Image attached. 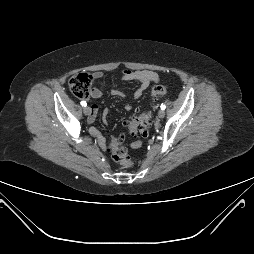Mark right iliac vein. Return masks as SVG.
Here are the masks:
<instances>
[{"instance_id": "63e3f726", "label": "right iliac vein", "mask_w": 254, "mask_h": 254, "mask_svg": "<svg viewBox=\"0 0 254 254\" xmlns=\"http://www.w3.org/2000/svg\"><path fill=\"white\" fill-rule=\"evenodd\" d=\"M83 112H84L85 115H89V114L91 113L90 107L85 106V107L83 108Z\"/></svg>"}]
</instances>
